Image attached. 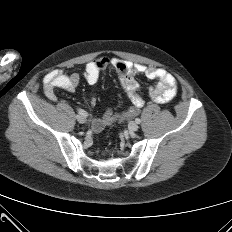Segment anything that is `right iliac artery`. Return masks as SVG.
<instances>
[{
	"mask_svg": "<svg viewBox=\"0 0 232 232\" xmlns=\"http://www.w3.org/2000/svg\"><path fill=\"white\" fill-rule=\"evenodd\" d=\"M77 111H78L79 114H81V115H83L85 117L88 116V113L86 111L82 110V109H77Z\"/></svg>",
	"mask_w": 232,
	"mask_h": 232,
	"instance_id": "obj_1",
	"label": "right iliac artery"
}]
</instances>
